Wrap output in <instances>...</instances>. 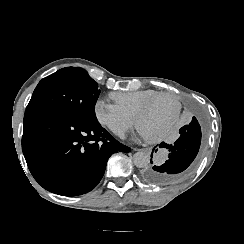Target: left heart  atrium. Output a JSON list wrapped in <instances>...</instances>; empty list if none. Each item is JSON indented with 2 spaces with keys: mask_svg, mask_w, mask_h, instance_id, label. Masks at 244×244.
<instances>
[{
  "mask_svg": "<svg viewBox=\"0 0 244 244\" xmlns=\"http://www.w3.org/2000/svg\"><path fill=\"white\" fill-rule=\"evenodd\" d=\"M142 133L146 136H148L149 138H152V139H156L158 138L160 135L158 134H152V135H149L146 131H142Z\"/></svg>",
  "mask_w": 244,
  "mask_h": 244,
  "instance_id": "1",
  "label": "left heart atrium"
}]
</instances>
